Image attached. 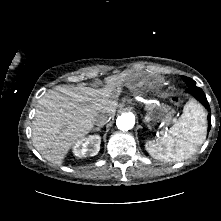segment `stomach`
Returning a JSON list of instances; mask_svg holds the SVG:
<instances>
[{
  "instance_id": "0dacf381",
  "label": "stomach",
  "mask_w": 221,
  "mask_h": 221,
  "mask_svg": "<svg viewBox=\"0 0 221 221\" xmlns=\"http://www.w3.org/2000/svg\"><path fill=\"white\" fill-rule=\"evenodd\" d=\"M121 80L134 96H146L150 91H162L167 86L164 77L151 72L126 70L122 73Z\"/></svg>"
}]
</instances>
